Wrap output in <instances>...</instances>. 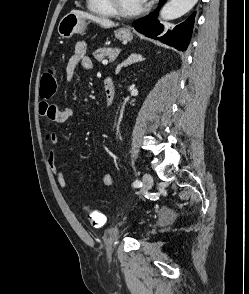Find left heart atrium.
<instances>
[{
  "mask_svg": "<svg viewBox=\"0 0 249 294\" xmlns=\"http://www.w3.org/2000/svg\"><path fill=\"white\" fill-rule=\"evenodd\" d=\"M147 0H141V2L144 4Z\"/></svg>",
  "mask_w": 249,
  "mask_h": 294,
  "instance_id": "obj_1",
  "label": "left heart atrium"
}]
</instances>
